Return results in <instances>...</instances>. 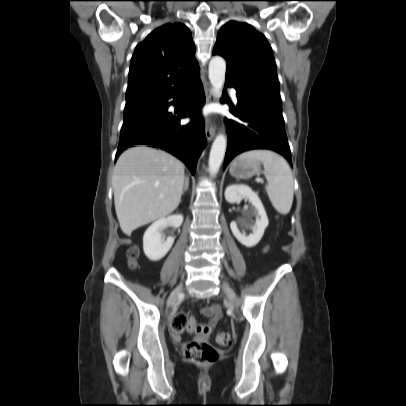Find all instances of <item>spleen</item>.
I'll return each instance as SVG.
<instances>
[{"instance_id":"obj_1","label":"spleen","mask_w":406,"mask_h":406,"mask_svg":"<svg viewBox=\"0 0 406 406\" xmlns=\"http://www.w3.org/2000/svg\"><path fill=\"white\" fill-rule=\"evenodd\" d=\"M240 158L263 163L269 199L280 214H288L293 202L294 181L286 160L270 150L247 151L242 153Z\"/></svg>"}]
</instances>
